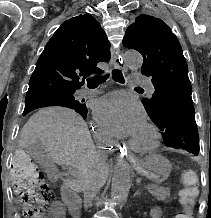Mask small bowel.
<instances>
[{"mask_svg": "<svg viewBox=\"0 0 211 218\" xmlns=\"http://www.w3.org/2000/svg\"><path fill=\"white\" fill-rule=\"evenodd\" d=\"M151 218H162V209L160 207H154L150 211Z\"/></svg>", "mask_w": 211, "mask_h": 218, "instance_id": "small-bowel-1", "label": "small bowel"}]
</instances>
